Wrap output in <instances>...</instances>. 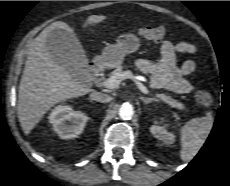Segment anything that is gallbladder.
Masks as SVG:
<instances>
[{
  "label": "gallbladder",
  "mask_w": 230,
  "mask_h": 186,
  "mask_svg": "<svg viewBox=\"0 0 230 186\" xmlns=\"http://www.w3.org/2000/svg\"><path fill=\"white\" fill-rule=\"evenodd\" d=\"M52 58L62 65L72 77L83 83L88 75V60L77 37L64 29L52 30L46 42Z\"/></svg>",
  "instance_id": "bac80fb5"
}]
</instances>
